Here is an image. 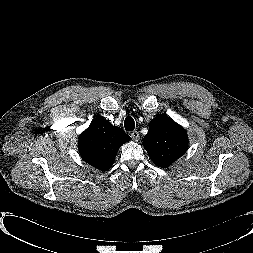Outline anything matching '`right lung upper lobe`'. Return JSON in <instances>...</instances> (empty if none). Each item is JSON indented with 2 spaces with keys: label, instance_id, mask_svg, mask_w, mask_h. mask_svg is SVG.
I'll return each mask as SVG.
<instances>
[{
  "label": "right lung upper lobe",
  "instance_id": "cb5924a9",
  "mask_svg": "<svg viewBox=\"0 0 253 253\" xmlns=\"http://www.w3.org/2000/svg\"><path fill=\"white\" fill-rule=\"evenodd\" d=\"M129 140L130 136L123 129L99 118L80 135L79 153L88 164L106 171L113 165L120 146Z\"/></svg>",
  "mask_w": 253,
  "mask_h": 253
}]
</instances>
